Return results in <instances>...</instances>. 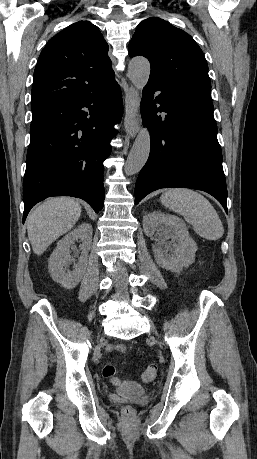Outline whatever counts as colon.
<instances>
[{
  "instance_id": "5ec220e1",
  "label": "colon",
  "mask_w": 257,
  "mask_h": 459,
  "mask_svg": "<svg viewBox=\"0 0 257 459\" xmlns=\"http://www.w3.org/2000/svg\"><path fill=\"white\" fill-rule=\"evenodd\" d=\"M102 375L104 378L110 380L112 384L114 385L119 384V379L116 375V367L113 363H107L104 365L102 369ZM156 378H157V366L154 364L147 366L141 374V379L144 382H153ZM124 414L126 416H132L133 415L132 408L130 407L124 408Z\"/></svg>"
}]
</instances>
